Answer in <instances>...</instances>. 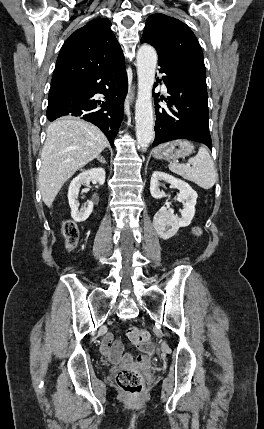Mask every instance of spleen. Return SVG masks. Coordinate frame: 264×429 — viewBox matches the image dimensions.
<instances>
[{"instance_id": "spleen-1", "label": "spleen", "mask_w": 264, "mask_h": 429, "mask_svg": "<svg viewBox=\"0 0 264 429\" xmlns=\"http://www.w3.org/2000/svg\"><path fill=\"white\" fill-rule=\"evenodd\" d=\"M188 162L189 164L187 165L171 162L169 169L184 179L196 183L205 190L212 188L218 174L207 149L200 146L196 156L190 158Z\"/></svg>"}]
</instances>
